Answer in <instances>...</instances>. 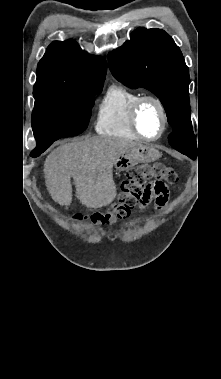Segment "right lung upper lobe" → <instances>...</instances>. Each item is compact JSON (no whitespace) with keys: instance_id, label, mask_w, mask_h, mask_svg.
Masks as SVG:
<instances>
[{"instance_id":"right-lung-upper-lobe-1","label":"right lung upper lobe","mask_w":221,"mask_h":379,"mask_svg":"<svg viewBox=\"0 0 221 379\" xmlns=\"http://www.w3.org/2000/svg\"><path fill=\"white\" fill-rule=\"evenodd\" d=\"M107 63L89 55L74 40L54 41L37 66L33 95L103 86Z\"/></svg>"}]
</instances>
